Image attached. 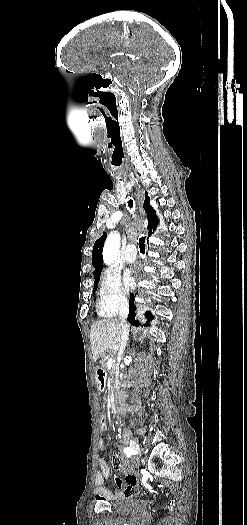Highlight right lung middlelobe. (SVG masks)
Instances as JSON below:
<instances>
[{"instance_id":"1","label":"right lung middle lobe","mask_w":247,"mask_h":525,"mask_svg":"<svg viewBox=\"0 0 247 525\" xmlns=\"http://www.w3.org/2000/svg\"><path fill=\"white\" fill-rule=\"evenodd\" d=\"M99 277H100V276H94V278H95V282H94V291H95L96 288H97V283H98V281H99Z\"/></svg>"}]
</instances>
